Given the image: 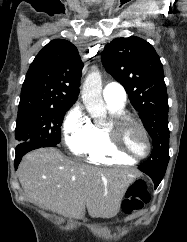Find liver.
I'll return each mask as SVG.
<instances>
[{"instance_id": "liver-1", "label": "liver", "mask_w": 187, "mask_h": 242, "mask_svg": "<svg viewBox=\"0 0 187 242\" xmlns=\"http://www.w3.org/2000/svg\"><path fill=\"white\" fill-rule=\"evenodd\" d=\"M140 173L133 169H101L65 157L54 148L26 154L18 168L25 197L66 217L112 218Z\"/></svg>"}]
</instances>
